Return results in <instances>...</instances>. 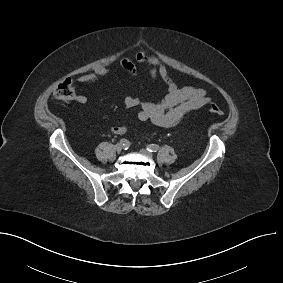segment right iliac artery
<instances>
[{
	"label": "right iliac artery",
	"mask_w": 283,
	"mask_h": 283,
	"mask_svg": "<svg viewBox=\"0 0 283 283\" xmlns=\"http://www.w3.org/2000/svg\"><path fill=\"white\" fill-rule=\"evenodd\" d=\"M119 142H120V144H122L125 147L130 146V142L126 139H121Z\"/></svg>",
	"instance_id": "obj_1"
}]
</instances>
